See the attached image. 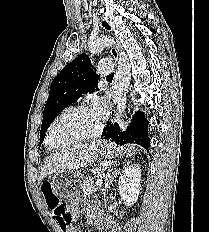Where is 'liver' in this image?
<instances>
[{"label":"liver","mask_w":209,"mask_h":232,"mask_svg":"<svg viewBox=\"0 0 209 232\" xmlns=\"http://www.w3.org/2000/svg\"><path fill=\"white\" fill-rule=\"evenodd\" d=\"M99 141L79 143L62 149L46 159L39 181L56 172L74 171L92 165L98 158Z\"/></svg>","instance_id":"liver-1"}]
</instances>
